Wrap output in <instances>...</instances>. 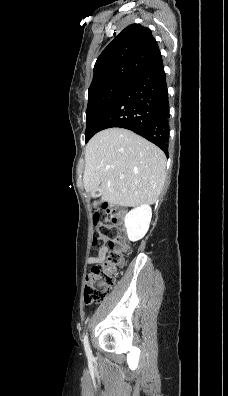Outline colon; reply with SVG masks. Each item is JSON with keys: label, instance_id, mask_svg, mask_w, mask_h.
<instances>
[{"label": "colon", "instance_id": "1", "mask_svg": "<svg viewBox=\"0 0 228 396\" xmlns=\"http://www.w3.org/2000/svg\"><path fill=\"white\" fill-rule=\"evenodd\" d=\"M96 227L93 245L105 247L103 261L94 265L86 277L84 302L91 305L102 301L114 285L128 245L123 237V223L119 210L107 203L93 215Z\"/></svg>", "mask_w": 228, "mask_h": 396}]
</instances>
